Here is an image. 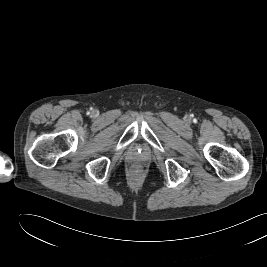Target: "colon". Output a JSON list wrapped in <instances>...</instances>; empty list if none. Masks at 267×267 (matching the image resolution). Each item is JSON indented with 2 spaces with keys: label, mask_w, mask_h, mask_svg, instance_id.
Listing matches in <instances>:
<instances>
[{
  "label": "colon",
  "mask_w": 267,
  "mask_h": 267,
  "mask_svg": "<svg viewBox=\"0 0 267 267\" xmlns=\"http://www.w3.org/2000/svg\"><path fill=\"white\" fill-rule=\"evenodd\" d=\"M135 171L136 172L140 171V166H135Z\"/></svg>",
  "instance_id": "5ec220e1"
}]
</instances>
